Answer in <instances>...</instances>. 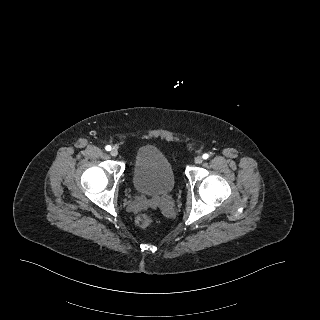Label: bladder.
<instances>
[{
    "mask_svg": "<svg viewBox=\"0 0 320 320\" xmlns=\"http://www.w3.org/2000/svg\"><path fill=\"white\" fill-rule=\"evenodd\" d=\"M135 190L147 196H164L175 187V174L168 158L154 146L140 147L132 171Z\"/></svg>",
    "mask_w": 320,
    "mask_h": 320,
    "instance_id": "bladder-1",
    "label": "bladder"
}]
</instances>
